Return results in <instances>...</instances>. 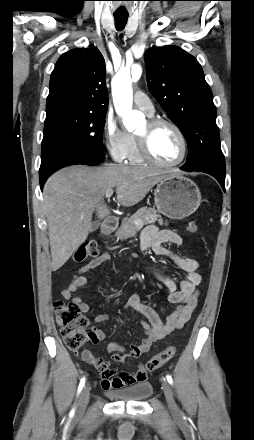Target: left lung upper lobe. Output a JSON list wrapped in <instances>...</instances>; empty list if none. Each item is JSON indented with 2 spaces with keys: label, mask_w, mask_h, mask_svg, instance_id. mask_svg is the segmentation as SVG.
Returning a JSON list of instances; mask_svg holds the SVG:
<instances>
[{
  "label": "left lung upper lobe",
  "mask_w": 254,
  "mask_h": 440,
  "mask_svg": "<svg viewBox=\"0 0 254 440\" xmlns=\"http://www.w3.org/2000/svg\"><path fill=\"white\" fill-rule=\"evenodd\" d=\"M145 63L150 92L187 141L183 167L225 172L213 95L196 58L177 46L152 47Z\"/></svg>",
  "instance_id": "obj_1"
}]
</instances>
